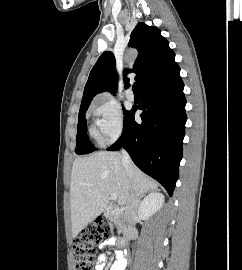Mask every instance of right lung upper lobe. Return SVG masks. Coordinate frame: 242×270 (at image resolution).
<instances>
[{
  "label": "right lung upper lobe",
  "instance_id": "obj_1",
  "mask_svg": "<svg viewBox=\"0 0 242 270\" xmlns=\"http://www.w3.org/2000/svg\"><path fill=\"white\" fill-rule=\"evenodd\" d=\"M129 45L138 50L134 63L135 80L142 87L153 75L165 68L174 60L175 54L169 48L168 41L161 36L159 29L138 23L130 35ZM132 72L124 71V74ZM118 75L115 69V57L112 52H104L92 68L86 86L80 110L88 108L92 98L106 90L115 92ZM125 88L129 87V79H124Z\"/></svg>",
  "mask_w": 242,
  "mask_h": 270
}]
</instances>
